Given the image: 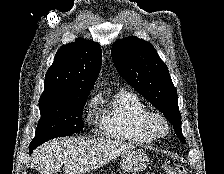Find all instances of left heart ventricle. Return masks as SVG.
<instances>
[{"instance_id": "1", "label": "left heart ventricle", "mask_w": 224, "mask_h": 174, "mask_svg": "<svg viewBox=\"0 0 224 174\" xmlns=\"http://www.w3.org/2000/svg\"><path fill=\"white\" fill-rule=\"evenodd\" d=\"M154 126L157 130H159V131L162 130V125L159 122H155Z\"/></svg>"}]
</instances>
